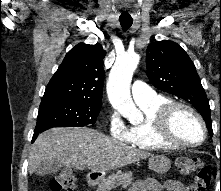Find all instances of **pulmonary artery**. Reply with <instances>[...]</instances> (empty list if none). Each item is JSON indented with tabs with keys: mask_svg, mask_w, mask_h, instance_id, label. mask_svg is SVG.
Wrapping results in <instances>:
<instances>
[{
	"mask_svg": "<svg viewBox=\"0 0 221 191\" xmlns=\"http://www.w3.org/2000/svg\"><path fill=\"white\" fill-rule=\"evenodd\" d=\"M131 94L137 104L150 102L158 96L149 85L140 80L133 82Z\"/></svg>",
	"mask_w": 221,
	"mask_h": 191,
	"instance_id": "pulmonary-artery-1",
	"label": "pulmonary artery"
}]
</instances>
